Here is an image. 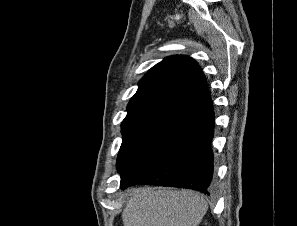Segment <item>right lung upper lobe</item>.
<instances>
[{
	"instance_id": "cb5924a9",
	"label": "right lung upper lobe",
	"mask_w": 297,
	"mask_h": 226,
	"mask_svg": "<svg viewBox=\"0 0 297 226\" xmlns=\"http://www.w3.org/2000/svg\"><path fill=\"white\" fill-rule=\"evenodd\" d=\"M209 97L206 78L195 60L179 55L167 57L140 80L124 121L145 117L170 119Z\"/></svg>"
}]
</instances>
